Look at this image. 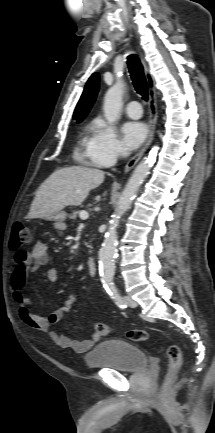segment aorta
<instances>
[{"instance_id": "obj_1", "label": "aorta", "mask_w": 215, "mask_h": 433, "mask_svg": "<svg viewBox=\"0 0 215 433\" xmlns=\"http://www.w3.org/2000/svg\"><path fill=\"white\" fill-rule=\"evenodd\" d=\"M125 84L122 80L108 89L104 97V116L109 124L118 121L122 110V97ZM157 147L140 162L129 178L125 188L119 198L117 207L112 215L108 231L105 235L104 243L99 252L101 281L107 287H112L115 272L114 259L117 254V228L123 214L129 209L131 202L142 185L147 173L155 162Z\"/></svg>"}]
</instances>
